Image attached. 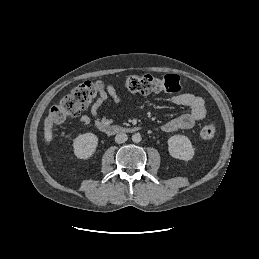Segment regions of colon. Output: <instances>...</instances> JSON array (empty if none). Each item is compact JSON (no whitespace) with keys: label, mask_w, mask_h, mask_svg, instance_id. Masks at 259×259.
<instances>
[{"label":"colon","mask_w":259,"mask_h":259,"mask_svg":"<svg viewBox=\"0 0 259 259\" xmlns=\"http://www.w3.org/2000/svg\"><path fill=\"white\" fill-rule=\"evenodd\" d=\"M125 88L132 93L150 94L154 92L177 93L181 89L177 75L156 77L151 74L128 77ZM104 92L101 81H86L66 94L50 110V120L54 125L65 123L68 119L78 116L98 95ZM216 135V127L209 123L200 130L203 140H212Z\"/></svg>","instance_id":"colon-1"}]
</instances>
